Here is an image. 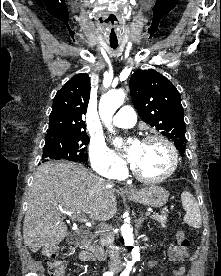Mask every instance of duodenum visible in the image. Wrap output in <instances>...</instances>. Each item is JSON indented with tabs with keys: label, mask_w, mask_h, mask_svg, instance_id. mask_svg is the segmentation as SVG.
<instances>
[{
	"label": "duodenum",
	"mask_w": 221,
	"mask_h": 276,
	"mask_svg": "<svg viewBox=\"0 0 221 276\" xmlns=\"http://www.w3.org/2000/svg\"><path fill=\"white\" fill-rule=\"evenodd\" d=\"M92 234L89 231H86L79 241L78 246L87 254H89L92 258L96 257L98 259H102L104 257V251L102 248L98 246H94L91 243Z\"/></svg>",
	"instance_id": "duodenum-1"
}]
</instances>
